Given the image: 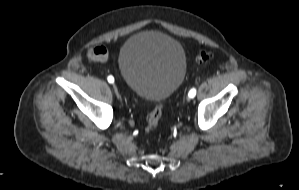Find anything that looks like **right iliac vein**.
<instances>
[{
	"instance_id": "1",
	"label": "right iliac vein",
	"mask_w": 299,
	"mask_h": 190,
	"mask_svg": "<svg viewBox=\"0 0 299 190\" xmlns=\"http://www.w3.org/2000/svg\"><path fill=\"white\" fill-rule=\"evenodd\" d=\"M113 89H114V91H115L117 97H119V96H120V95H119V89H118V86H117L115 83H113Z\"/></svg>"
}]
</instances>
